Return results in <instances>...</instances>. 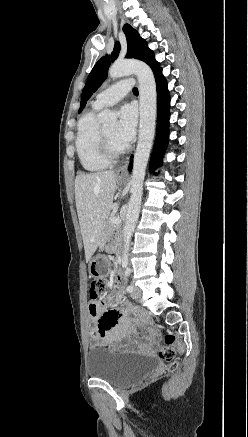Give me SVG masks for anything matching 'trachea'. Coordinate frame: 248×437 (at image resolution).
<instances>
[{"mask_svg": "<svg viewBox=\"0 0 248 437\" xmlns=\"http://www.w3.org/2000/svg\"><path fill=\"white\" fill-rule=\"evenodd\" d=\"M133 93L137 94L138 93V89L136 87L133 88Z\"/></svg>", "mask_w": 248, "mask_h": 437, "instance_id": "1", "label": "trachea"}]
</instances>
